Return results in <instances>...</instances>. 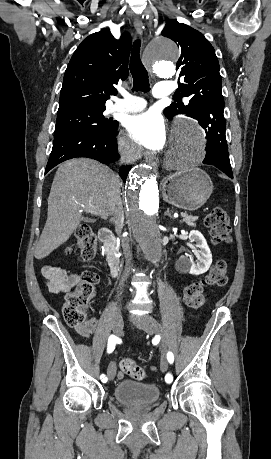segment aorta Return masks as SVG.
<instances>
[{"label":"aorta","instance_id":"aorta-1","mask_svg":"<svg viewBox=\"0 0 271 459\" xmlns=\"http://www.w3.org/2000/svg\"><path fill=\"white\" fill-rule=\"evenodd\" d=\"M177 56L176 44L163 37L153 41L146 51L148 65L161 77L174 74L173 60ZM203 158L204 137L198 127L189 121L179 123L173 130L166 153L167 167L183 172L200 164ZM126 187L127 217L134 238L145 257L158 262L162 257V245L157 224L159 190L156 175L151 174L149 165H137L130 172Z\"/></svg>","mask_w":271,"mask_h":459}]
</instances>
